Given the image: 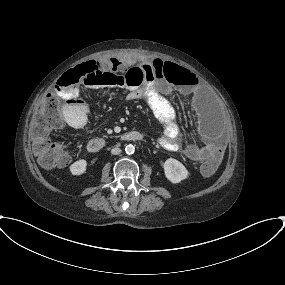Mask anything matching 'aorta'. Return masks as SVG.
<instances>
[{"mask_svg": "<svg viewBox=\"0 0 285 285\" xmlns=\"http://www.w3.org/2000/svg\"><path fill=\"white\" fill-rule=\"evenodd\" d=\"M125 152L127 154H133L135 152V147L132 144L126 145Z\"/></svg>", "mask_w": 285, "mask_h": 285, "instance_id": "aorta-1", "label": "aorta"}]
</instances>
